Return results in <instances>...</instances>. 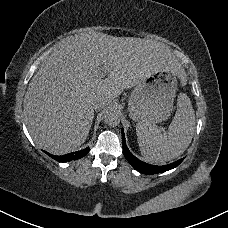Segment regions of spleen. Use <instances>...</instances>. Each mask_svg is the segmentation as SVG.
I'll list each match as a JSON object with an SVG mask.
<instances>
[{"mask_svg":"<svg viewBox=\"0 0 228 228\" xmlns=\"http://www.w3.org/2000/svg\"><path fill=\"white\" fill-rule=\"evenodd\" d=\"M177 107L166 133L144 121L136 125L138 145L146 162L161 164L170 161L182 154L192 141L195 114L187 95H179Z\"/></svg>","mask_w":228,"mask_h":228,"instance_id":"obj_1","label":"spleen"}]
</instances>
